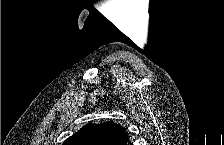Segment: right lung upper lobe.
I'll return each instance as SVG.
<instances>
[{
  "label": "right lung upper lobe",
  "mask_w": 224,
  "mask_h": 145,
  "mask_svg": "<svg viewBox=\"0 0 224 145\" xmlns=\"http://www.w3.org/2000/svg\"><path fill=\"white\" fill-rule=\"evenodd\" d=\"M124 129L114 122L87 124L64 141V145H127Z\"/></svg>",
  "instance_id": "cb5924a9"
}]
</instances>
